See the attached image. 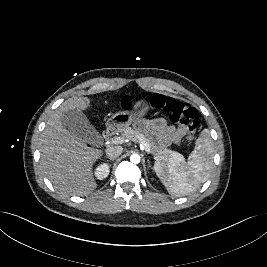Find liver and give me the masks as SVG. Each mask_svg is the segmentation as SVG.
Returning <instances> with one entry per match:
<instances>
[{
  "label": "liver",
  "instance_id": "liver-1",
  "mask_svg": "<svg viewBox=\"0 0 267 267\" xmlns=\"http://www.w3.org/2000/svg\"><path fill=\"white\" fill-rule=\"evenodd\" d=\"M88 106V97L66 100L51 114L41 135V167L54 187L69 195H86L97 186L93 166L103 151L88 147L62 125L64 112Z\"/></svg>",
  "mask_w": 267,
  "mask_h": 267
}]
</instances>
